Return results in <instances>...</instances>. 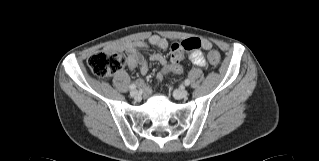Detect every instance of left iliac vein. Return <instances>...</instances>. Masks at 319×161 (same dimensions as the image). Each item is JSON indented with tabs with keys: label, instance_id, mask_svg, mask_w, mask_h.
<instances>
[{
	"label": "left iliac vein",
	"instance_id": "obj_1",
	"mask_svg": "<svg viewBox=\"0 0 319 161\" xmlns=\"http://www.w3.org/2000/svg\"><path fill=\"white\" fill-rule=\"evenodd\" d=\"M173 96L176 99H183V98H186L188 96V91L185 89L175 90L173 92Z\"/></svg>",
	"mask_w": 319,
	"mask_h": 161
}]
</instances>
